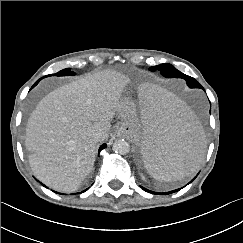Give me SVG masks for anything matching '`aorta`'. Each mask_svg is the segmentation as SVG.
Here are the masks:
<instances>
[{"instance_id":"762f6f07","label":"aorta","mask_w":243,"mask_h":243,"mask_svg":"<svg viewBox=\"0 0 243 243\" xmlns=\"http://www.w3.org/2000/svg\"><path fill=\"white\" fill-rule=\"evenodd\" d=\"M113 150L116 153H119L121 155H125L130 151V145L126 140L119 139V140H116L113 143Z\"/></svg>"}]
</instances>
